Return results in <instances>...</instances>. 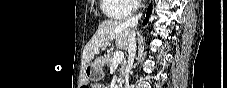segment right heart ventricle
Instances as JSON below:
<instances>
[{"label": "right heart ventricle", "mask_w": 227, "mask_h": 88, "mask_svg": "<svg viewBox=\"0 0 227 88\" xmlns=\"http://www.w3.org/2000/svg\"><path fill=\"white\" fill-rule=\"evenodd\" d=\"M100 8L109 19H122L129 10V4L124 0H100Z\"/></svg>", "instance_id": "obj_1"}]
</instances>
